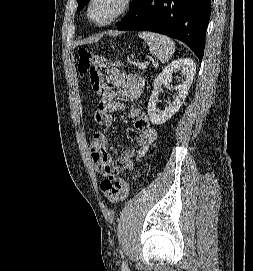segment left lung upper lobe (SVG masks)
<instances>
[{"instance_id": "5c2ea615", "label": "left lung upper lobe", "mask_w": 253, "mask_h": 271, "mask_svg": "<svg viewBox=\"0 0 253 271\" xmlns=\"http://www.w3.org/2000/svg\"><path fill=\"white\" fill-rule=\"evenodd\" d=\"M77 1H78V8H77V11H80L81 9L84 8V6L86 5V3H87L88 0H77ZM135 1H136V0H133V1H132L131 5H130V11L132 10V8H133V6H134ZM129 13H130V12H129ZM129 13H128V14H129ZM128 14H127V15H128ZM127 15H126V16H127ZM126 16H125V17H126Z\"/></svg>"}]
</instances>
